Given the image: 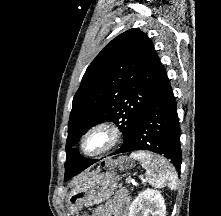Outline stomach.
Segmentation results:
<instances>
[{
    "label": "stomach",
    "mask_w": 221,
    "mask_h": 216,
    "mask_svg": "<svg viewBox=\"0 0 221 216\" xmlns=\"http://www.w3.org/2000/svg\"><path fill=\"white\" fill-rule=\"evenodd\" d=\"M119 177L114 173H99L92 171L82 180L80 185L73 188L67 199L70 214L75 215L83 207L100 204L109 199L117 188Z\"/></svg>",
    "instance_id": "obj_1"
}]
</instances>
